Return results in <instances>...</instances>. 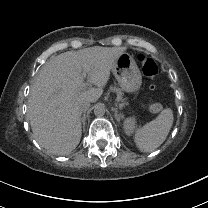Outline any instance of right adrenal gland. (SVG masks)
<instances>
[{"label": "right adrenal gland", "mask_w": 208, "mask_h": 208, "mask_svg": "<svg viewBox=\"0 0 208 208\" xmlns=\"http://www.w3.org/2000/svg\"><path fill=\"white\" fill-rule=\"evenodd\" d=\"M81 121L83 123V127L85 126V113L83 114V117L81 118Z\"/></svg>", "instance_id": "right-adrenal-gland-1"}]
</instances>
